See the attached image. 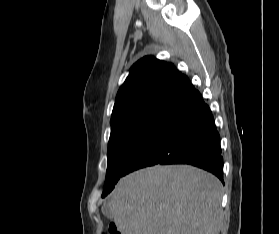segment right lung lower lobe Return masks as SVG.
Here are the masks:
<instances>
[{"label":"right lung lower lobe","instance_id":"1","mask_svg":"<svg viewBox=\"0 0 279 234\" xmlns=\"http://www.w3.org/2000/svg\"><path fill=\"white\" fill-rule=\"evenodd\" d=\"M155 164H190L223 182L220 136L209 107L194 87L170 107L137 148L124 175Z\"/></svg>","mask_w":279,"mask_h":234}]
</instances>
